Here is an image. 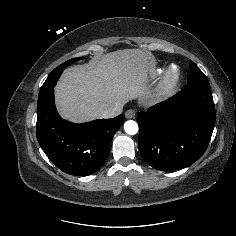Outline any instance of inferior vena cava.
<instances>
[{"label":"inferior vena cava","mask_w":236,"mask_h":236,"mask_svg":"<svg viewBox=\"0 0 236 236\" xmlns=\"http://www.w3.org/2000/svg\"><path fill=\"white\" fill-rule=\"evenodd\" d=\"M123 107L117 105L113 108H109L102 113V118H113L122 113Z\"/></svg>","instance_id":"602c4592"}]
</instances>
